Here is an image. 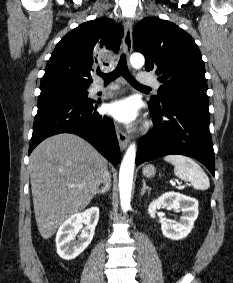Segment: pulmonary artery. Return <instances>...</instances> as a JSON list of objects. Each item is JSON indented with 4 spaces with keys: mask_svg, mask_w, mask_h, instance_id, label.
<instances>
[{
    "mask_svg": "<svg viewBox=\"0 0 233 283\" xmlns=\"http://www.w3.org/2000/svg\"><path fill=\"white\" fill-rule=\"evenodd\" d=\"M138 78H139V83L142 84V85L152 86L155 89H158L159 86H160V84L157 81V79H155L154 77H151L149 75L140 74ZM116 88H117L116 86L103 87L102 85H95L93 90L95 92L112 91V90H115Z\"/></svg>",
    "mask_w": 233,
    "mask_h": 283,
    "instance_id": "pulmonary-artery-1",
    "label": "pulmonary artery"
}]
</instances>
